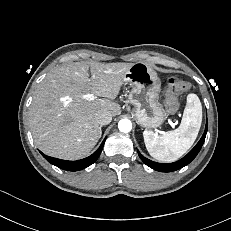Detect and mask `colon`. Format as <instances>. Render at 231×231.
I'll list each match as a JSON object with an SVG mask.
<instances>
[{
    "label": "colon",
    "mask_w": 231,
    "mask_h": 231,
    "mask_svg": "<svg viewBox=\"0 0 231 231\" xmlns=\"http://www.w3.org/2000/svg\"><path fill=\"white\" fill-rule=\"evenodd\" d=\"M190 85L185 82L175 78H171L167 83L166 90V108L170 112H175L178 109V100L177 97L179 94L187 91Z\"/></svg>",
    "instance_id": "obj_1"
}]
</instances>
